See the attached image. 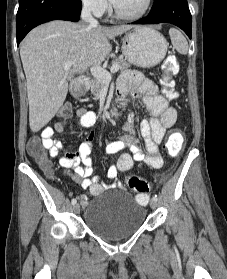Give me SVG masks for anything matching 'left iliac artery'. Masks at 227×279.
I'll return each mask as SVG.
<instances>
[{"mask_svg":"<svg viewBox=\"0 0 227 279\" xmlns=\"http://www.w3.org/2000/svg\"><path fill=\"white\" fill-rule=\"evenodd\" d=\"M153 199L157 201V200H158L157 195H154V196H153Z\"/></svg>","mask_w":227,"mask_h":279,"instance_id":"1","label":"left iliac artery"}]
</instances>
